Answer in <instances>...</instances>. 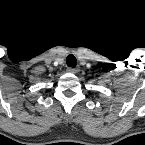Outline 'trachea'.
<instances>
[{"label": "trachea", "mask_w": 145, "mask_h": 145, "mask_svg": "<svg viewBox=\"0 0 145 145\" xmlns=\"http://www.w3.org/2000/svg\"><path fill=\"white\" fill-rule=\"evenodd\" d=\"M66 63L68 67L75 68L77 65V59L74 55L70 54L66 58Z\"/></svg>", "instance_id": "obj_1"}]
</instances>
